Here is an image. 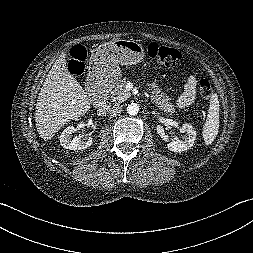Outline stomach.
<instances>
[{"mask_svg":"<svg viewBox=\"0 0 253 253\" xmlns=\"http://www.w3.org/2000/svg\"><path fill=\"white\" fill-rule=\"evenodd\" d=\"M145 46L135 40H113L100 45L90 61V74L106 81L119 78V65L131 66L139 63L145 54Z\"/></svg>","mask_w":253,"mask_h":253,"instance_id":"obj_1","label":"stomach"}]
</instances>
